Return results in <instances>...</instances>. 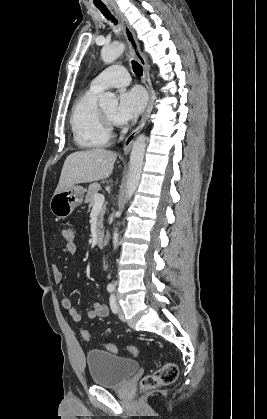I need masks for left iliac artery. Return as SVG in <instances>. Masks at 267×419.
<instances>
[{
  "label": "left iliac artery",
  "instance_id": "obj_1",
  "mask_svg": "<svg viewBox=\"0 0 267 419\" xmlns=\"http://www.w3.org/2000/svg\"><path fill=\"white\" fill-rule=\"evenodd\" d=\"M109 304H110V308H111L112 312L117 313L116 297H115L114 294H112L110 296Z\"/></svg>",
  "mask_w": 267,
  "mask_h": 419
}]
</instances>
